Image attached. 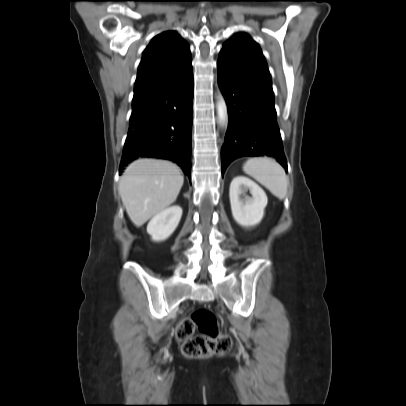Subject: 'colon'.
<instances>
[{"label":"colon","mask_w":406,"mask_h":406,"mask_svg":"<svg viewBox=\"0 0 406 406\" xmlns=\"http://www.w3.org/2000/svg\"><path fill=\"white\" fill-rule=\"evenodd\" d=\"M195 329L200 333L194 335ZM176 338L182 342L185 357L193 359L225 353L232 345L230 336L219 331L217 319L208 309L182 319L176 327Z\"/></svg>","instance_id":"5ec220e1"}]
</instances>
